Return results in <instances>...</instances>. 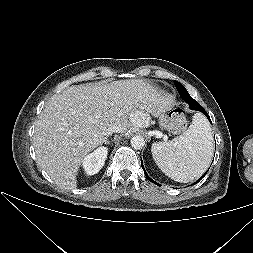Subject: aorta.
I'll list each match as a JSON object with an SVG mask.
<instances>
[{"label":"aorta","mask_w":253,"mask_h":253,"mask_svg":"<svg viewBox=\"0 0 253 253\" xmlns=\"http://www.w3.org/2000/svg\"><path fill=\"white\" fill-rule=\"evenodd\" d=\"M131 146L134 149H142L145 145V140L142 136L140 135H135L131 138Z\"/></svg>","instance_id":"obj_1"}]
</instances>
